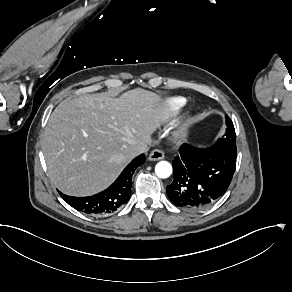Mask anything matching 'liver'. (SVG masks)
<instances>
[{
	"instance_id": "6515ba94",
	"label": "liver",
	"mask_w": 292,
	"mask_h": 292,
	"mask_svg": "<svg viewBox=\"0 0 292 292\" xmlns=\"http://www.w3.org/2000/svg\"><path fill=\"white\" fill-rule=\"evenodd\" d=\"M166 118L160 98L142 89L118 100L101 93L63 101L52 113L41 142L49 177L68 195L103 190Z\"/></svg>"
}]
</instances>
